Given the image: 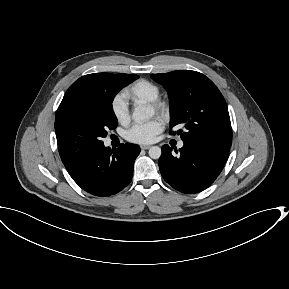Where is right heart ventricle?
Listing matches in <instances>:
<instances>
[{"label": "right heart ventricle", "instance_id": "obj_1", "mask_svg": "<svg viewBox=\"0 0 289 289\" xmlns=\"http://www.w3.org/2000/svg\"><path fill=\"white\" fill-rule=\"evenodd\" d=\"M159 96V86L145 79L134 82L123 92V97L132 101L134 104L151 103L157 100Z\"/></svg>", "mask_w": 289, "mask_h": 289}]
</instances>
